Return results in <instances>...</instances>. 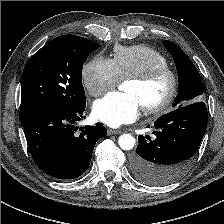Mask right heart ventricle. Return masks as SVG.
Instances as JSON below:
<instances>
[{"label": "right heart ventricle", "mask_w": 224, "mask_h": 224, "mask_svg": "<svg viewBox=\"0 0 224 224\" xmlns=\"http://www.w3.org/2000/svg\"><path fill=\"white\" fill-rule=\"evenodd\" d=\"M112 61L121 79H128L152 68L168 65L165 55L143 45L117 46Z\"/></svg>", "instance_id": "right-heart-ventricle-1"}]
</instances>
